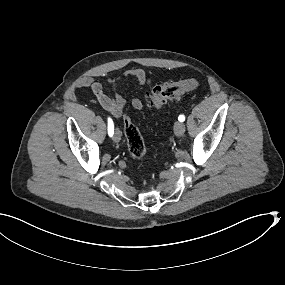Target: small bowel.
Instances as JSON below:
<instances>
[{"mask_svg":"<svg viewBox=\"0 0 285 285\" xmlns=\"http://www.w3.org/2000/svg\"><path fill=\"white\" fill-rule=\"evenodd\" d=\"M126 76L130 79L135 80L141 87H145L150 84L149 78L142 69H131L126 73ZM107 81L115 90L112 96H109L104 92L101 82L91 77H83L78 81L77 84L80 88L89 89L94 94L102 108L111 114L114 118H120L123 114L126 100L121 94L116 92L119 80L117 78H108ZM132 106L136 110H141L143 108V102L139 98H134L132 100Z\"/></svg>","mask_w":285,"mask_h":285,"instance_id":"1","label":"small bowel"}]
</instances>
